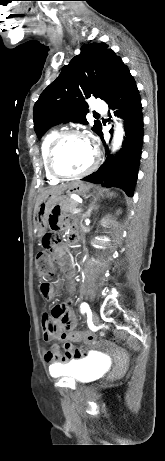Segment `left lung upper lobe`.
Returning <instances> with one entry per match:
<instances>
[{"label":"left lung upper lobe","mask_w":165,"mask_h":461,"mask_svg":"<svg viewBox=\"0 0 165 461\" xmlns=\"http://www.w3.org/2000/svg\"><path fill=\"white\" fill-rule=\"evenodd\" d=\"M122 59L105 43L85 44L62 70L58 78L41 93L34 105V129L40 138L52 125L63 122L87 124V103L91 96L106 100L127 70ZM102 125L96 121L97 134Z\"/></svg>","instance_id":"obj_1"}]
</instances>
